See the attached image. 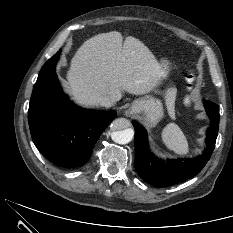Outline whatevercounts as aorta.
Returning a JSON list of instances; mask_svg holds the SVG:
<instances>
[{
	"mask_svg": "<svg viewBox=\"0 0 233 233\" xmlns=\"http://www.w3.org/2000/svg\"><path fill=\"white\" fill-rule=\"evenodd\" d=\"M111 138L118 144H127L134 137V131L130 128V122L125 118L115 119L111 125Z\"/></svg>",
	"mask_w": 233,
	"mask_h": 233,
	"instance_id": "1",
	"label": "aorta"
}]
</instances>
